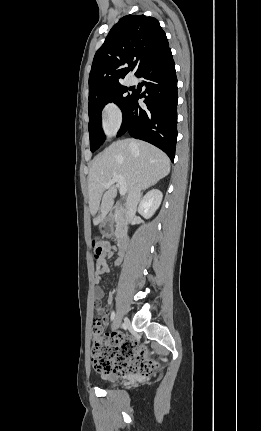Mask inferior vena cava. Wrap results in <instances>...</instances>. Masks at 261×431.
<instances>
[{"label": "inferior vena cava", "instance_id": "602c4592", "mask_svg": "<svg viewBox=\"0 0 261 431\" xmlns=\"http://www.w3.org/2000/svg\"><path fill=\"white\" fill-rule=\"evenodd\" d=\"M141 199V189L140 187H135L134 190L128 194L127 201H126V214L127 219L130 222L136 213L137 205L140 202Z\"/></svg>", "mask_w": 261, "mask_h": 431}]
</instances>
